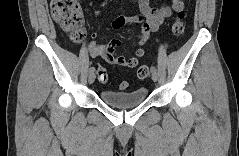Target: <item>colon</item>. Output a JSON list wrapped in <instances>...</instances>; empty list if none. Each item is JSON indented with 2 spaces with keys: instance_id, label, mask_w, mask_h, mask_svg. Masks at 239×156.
I'll return each instance as SVG.
<instances>
[{
  "instance_id": "1",
  "label": "colon",
  "mask_w": 239,
  "mask_h": 156,
  "mask_svg": "<svg viewBox=\"0 0 239 156\" xmlns=\"http://www.w3.org/2000/svg\"><path fill=\"white\" fill-rule=\"evenodd\" d=\"M51 10L54 20L59 25L60 29L67 35L68 39L72 43H80L85 37L83 11L80 3L76 0H54L51 3ZM184 11L179 10L176 20L173 24V33L176 36H180L184 32ZM98 79L101 82H106L108 79V73L106 68H98ZM137 76L140 79H145L149 76V68L146 65H142L137 69ZM128 87L126 81H122L119 84L121 90H125Z\"/></svg>"
}]
</instances>
